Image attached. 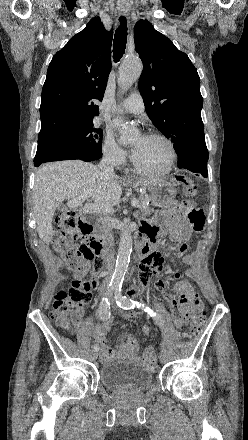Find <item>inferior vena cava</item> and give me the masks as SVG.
<instances>
[{
  "label": "inferior vena cava",
  "instance_id": "1",
  "mask_svg": "<svg viewBox=\"0 0 248 440\" xmlns=\"http://www.w3.org/2000/svg\"><path fill=\"white\" fill-rule=\"evenodd\" d=\"M98 166L103 174L115 175V173H114V156L112 154L106 153ZM100 222H101L102 228H104V231L108 235L110 250L104 256V263H105V266L108 269L109 273L111 274V272L113 270V266H114V252L112 251L113 246H114V243H113L114 238L111 233L112 227L110 226L107 218H101ZM109 278L110 277L108 276L107 280H109Z\"/></svg>",
  "mask_w": 248,
  "mask_h": 440
}]
</instances>
